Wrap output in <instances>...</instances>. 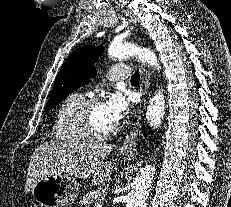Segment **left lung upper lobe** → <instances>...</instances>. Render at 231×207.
<instances>
[{"mask_svg":"<svg viewBox=\"0 0 231 207\" xmlns=\"http://www.w3.org/2000/svg\"><path fill=\"white\" fill-rule=\"evenodd\" d=\"M103 50L102 46H84L65 61L55 79L45 110L56 107L71 92L86 84L94 76L96 69L93 64Z\"/></svg>","mask_w":231,"mask_h":207,"instance_id":"5c2ea615","label":"left lung upper lobe"}]
</instances>
